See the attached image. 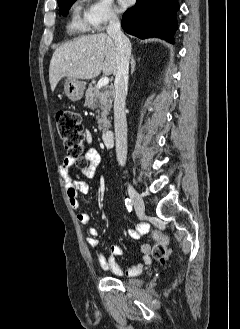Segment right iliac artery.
Wrapping results in <instances>:
<instances>
[{
	"label": "right iliac artery",
	"mask_w": 240,
	"mask_h": 329,
	"mask_svg": "<svg viewBox=\"0 0 240 329\" xmlns=\"http://www.w3.org/2000/svg\"><path fill=\"white\" fill-rule=\"evenodd\" d=\"M125 205L128 209V211H131L132 210V203H131V199H125Z\"/></svg>",
	"instance_id": "obj_1"
}]
</instances>
